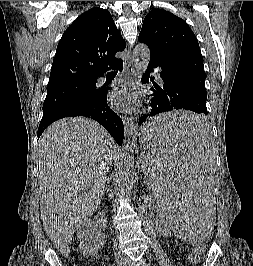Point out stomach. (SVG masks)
Wrapping results in <instances>:
<instances>
[{
    "instance_id": "1",
    "label": "stomach",
    "mask_w": 253,
    "mask_h": 266,
    "mask_svg": "<svg viewBox=\"0 0 253 266\" xmlns=\"http://www.w3.org/2000/svg\"><path fill=\"white\" fill-rule=\"evenodd\" d=\"M157 136H154L153 132H147L146 126L143 127V129L139 133V141L141 145L143 146V152L145 156V150H148L149 145V139L150 138H156Z\"/></svg>"
}]
</instances>
